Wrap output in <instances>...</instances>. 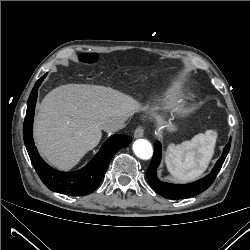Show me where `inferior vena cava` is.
I'll use <instances>...</instances> for the list:
<instances>
[{"instance_id": "602c4592", "label": "inferior vena cava", "mask_w": 250, "mask_h": 250, "mask_svg": "<svg viewBox=\"0 0 250 250\" xmlns=\"http://www.w3.org/2000/svg\"><path fill=\"white\" fill-rule=\"evenodd\" d=\"M127 117H115L107 120L104 123V130L106 131H117L125 127V121Z\"/></svg>"}]
</instances>
